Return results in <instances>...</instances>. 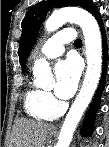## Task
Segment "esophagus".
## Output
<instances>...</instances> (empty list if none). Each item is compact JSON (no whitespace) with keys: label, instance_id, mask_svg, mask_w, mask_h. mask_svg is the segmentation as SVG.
Returning <instances> with one entry per match:
<instances>
[{"label":"esophagus","instance_id":"esophagus-1","mask_svg":"<svg viewBox=\"0 0 109 147\" xmlns=\"http://www.w3.org/2000/svg\"><path fill=\"white\" fill-rule=\"evenodd\" d=\"M52 128H53V129H56V128H58V125H54Z\"/></svg>","mask_w":109,"mask_h":147}]
</instances>
